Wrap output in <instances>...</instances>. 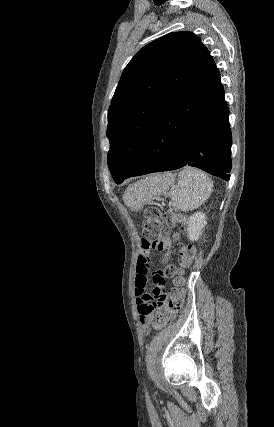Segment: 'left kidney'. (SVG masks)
<instances>
[{
	"label": "left kidney",
	"instance_id": "obj_1",
	"mask_svg": "<svg viewBox=\"0 0 274 427\" xmlns=\"http://www.w3.org/2000/svg\"><path fill=\"white\" fill-rule=\"evenodd\" d=\"M206 223V215L202 214V212H196V214L190 215L187 231L188 237L191 241L199 239V235H201V231L203 227H205Z\"/></svg>",
	"mask_w": 274,
	"mask_h": 427
}]
</instances>
